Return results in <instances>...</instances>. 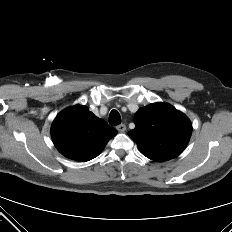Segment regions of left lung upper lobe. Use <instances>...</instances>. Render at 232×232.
<instances>
[{"mask_svg":"<svg viewBox=\"0 0 232 232\" xmlns=\"http://www.w3.org/2000/svg\"><path fill=\"white\" fill-rule=\"evenodd\" d=\"M134 123L135 129L129 131L128 135L143 155L157 162L181 154L192 132L189 119L166 103L140 108L134 116Z\"/></svg>","mask_w":232,"mask_h":232,"instance_id":"1","label":"left lung upper lobe"}]
</instances>
